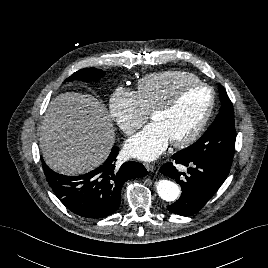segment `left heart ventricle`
<instances>
[{
    "label": "left heart ventricle",
    "mask_w": 268,
    "mask_h": 268,
    "mask_svg": "<svg viewBox=\"0 0 268 268\" xmlns=\"http://www.w3.org/2000/svg\"><path fill=\"white\" fill-rule=\"evenodd\" d=\"M210 100V92L203 87L185 90L177 105L168 113L153 120L165 131L170 141L186 137L198 124Z\"/></svg>",
    "instance_id": "obj_1"
}]
</instances>
